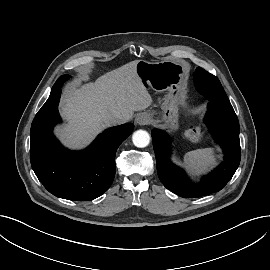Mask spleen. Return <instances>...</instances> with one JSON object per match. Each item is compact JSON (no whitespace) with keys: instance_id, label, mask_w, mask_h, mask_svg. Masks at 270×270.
I'll return each mask as SVG.
<instances>
[{"instance_id":"spleen-1","label":"spleen","mask_w":270,"mask_h":270,"mask_svg":"<svg viewBox=\"0 0 270 270\" xmlns=\"http://www.w3.org/2000/svg\"><path fill=\"white\" fill-rule=\"evenodd\" d=\"M217 158L214 149H198L184 155L185 164L196 173L216 164Z\"/></svg>"}]
</instances>
